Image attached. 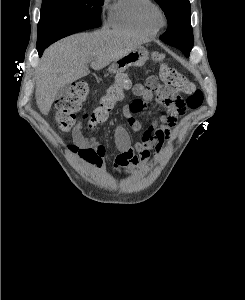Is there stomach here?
Wrapping results in <instances>:
<instances>
[{
	"instance_id": "1",
	"label": "stomach",
	"mask_w": 245,
	"mask_h": 300,
	"mask_svg": "<svg viewBox=\"0 0 245 300\" xmlns=\"http://www.w3.org/2000/svg\"><path fill=\"white\" fill-rule=\"evenodd\" d=\"M148 51L143 47H138L113 61L108 70L110 73H123L129 67H141L148 60Z\"/></svg>"
}]
</instances>
